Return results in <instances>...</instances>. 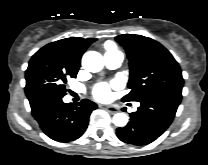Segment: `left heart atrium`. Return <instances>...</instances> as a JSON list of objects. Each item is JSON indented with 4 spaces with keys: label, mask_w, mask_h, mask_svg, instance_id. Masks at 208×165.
<instances>
[{
    "label": "left heart atrium",
    "mask_w": 208,
    "mask_h": 165,
    "mask_svg": "<svg viewBox=\"0 0 208 165\" xmlns=\"http://www.w3.org/2000/svg\"><path fill=\"white\" fill-rule=\"evenodd\" d=\"M93 96L99 101H106L111 96L110 86L106 82L98 83L92 91Z\"/></svg>",
    "instance_id": "left-heart-atrium-1"
}]
</instances>
